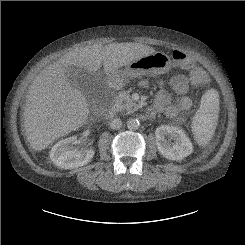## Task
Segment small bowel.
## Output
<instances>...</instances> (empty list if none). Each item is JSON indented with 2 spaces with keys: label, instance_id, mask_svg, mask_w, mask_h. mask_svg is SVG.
<instances>
[{
  "label": "small bowel",
  "instance_id": "obj_1",
  "mask_svg": "<svg viewBox=\"0 0 245 245\" xmlns=\"http://www.w3.org/2000/svg\"><path fill=\"white\" fill-rule=\"evenodd\" d=\"M171 87L175 93L174 96L163 87L160 88L155 96L153 105L147 109L146 115L148 118H153L158 113L174 118L192 106V99L186 95L188 82L185 76L175 75L172 77Z\"/></svg>",
  "mask_w": 245,
  "mask_h": 245
}]
</instances>
